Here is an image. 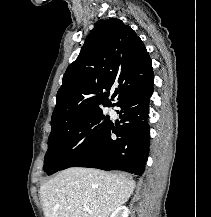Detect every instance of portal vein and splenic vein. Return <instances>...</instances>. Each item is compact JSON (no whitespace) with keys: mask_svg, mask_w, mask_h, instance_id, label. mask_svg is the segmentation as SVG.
<instances>
[{"mask_svg":"<svg viewBox=\"0 0 211 217\" xmlns=\"http://www.w3.org/2000/svg\"><path fill=\"white\" fill-rule=\"evenodd\" d=\"M84 211L85 212H89V213H91L92 211L90 210V208L89 207H84Z\"/></svg>","mask_w":211,"mask_h":217,"instance_id":"obj_1","label":"portal vein and splenic vein"}]
</instances>
